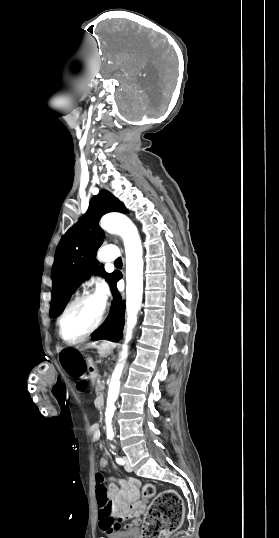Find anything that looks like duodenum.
Instances as JSON below:
<instances>
[{"label":"duodenum","mask_w":279,"mask_h":538,"mask_svg":"<svg viewBox=\"0 0 279 538\" xmlns=\"http://www.w3.org/2000/svg\"><path fill=\"white\" fill-rule=\"evenodd\" d=\"M89 369L91 372L93 385H96L97 376H98L97 370L99 369V366L97 364H91L89 366ZM103 400H104V397L102 395H99L97 397V400L94 402V405L98 407V410L100 411H103L105 409V406L102 404Z\"/></svg>","instance_id":"obj_1"}]
</instances>
